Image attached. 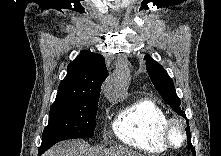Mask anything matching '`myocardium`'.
<instances>
[{
    "instance_id": "f54148a6",
    "label": "myocardium",
    "mask_w": 221,
    "mask_h": 156,
    "mask_svg": "<svg viewBox=\"0 0 221 156\" xmlns=\"http://www.w3.org/2000/svg\"><path fill=\"white\" fill-rule=\"evenodd\" d=\"M175 127L180 128L182 132V141L180 144H175L172 140V131ZM163 140L165 144L168 146V148L172 149H180L182 148L186 141H187V128L185 123L178 119V118H169V120L166 122L164 128H163Z\"/></svg>"
}]
</instances>
